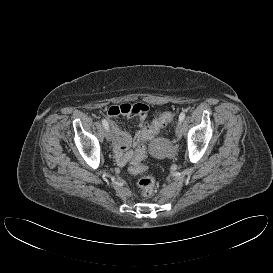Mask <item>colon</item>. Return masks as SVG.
<instances>
[{"mask_svg": "<svg viewBox=\"0 0 273 273\" xmlns=\"http://www.w3.org/2000/svg\"><path fill=\"white\" fill-rule=\"evenodd\" d=\"M174 119V114L171 111L162 112L157 118L153 120L150 125L143 129V140L137 146L132 160L129 165V172L133 175H142L138 180V187L140 194L143 197H149L155 190V179L153 176L145 174L147 165L146 158V142L154 138L164 127L170 124Z\"/></svg>", "mask_w": 273, "mask_h": 273, "instance_id": "5ec220e1", "label": "colon"}]
</instances>
